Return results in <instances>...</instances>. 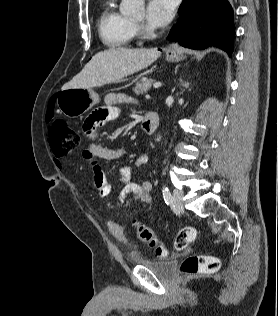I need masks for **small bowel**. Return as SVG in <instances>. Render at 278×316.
Wrapping results in <instances>:
<instances>
[{"mask_svg":"<svg viewBox=\"0 0 278 316\" xmlns=\"http://www.w3.org/2000/svg\"><path fill=\"white\" fill-rule=\"evenodd\" d=\"M129 98L123 94L110 93L105 97V105L93 111L84 121L83 131L87 138L86 148L82 151V157L87 161L93 171L94 185L101 197H109L112 186L99 164V160H116L123 156L124 152L120 148H109L99 142L100 128L108 121L114 120L119 115V106L127 102ZM149 161L147 154L140 155L133 165L123 166L119 169V181L123 188L118 198V204L125 207L138 203L151 205L152 184L148 181L142 183L132 182L133 170L145 165ZM110 208L115 204L108 203ZM110 233L120 242L126 243L127 237L123 228L113 220L107 223Z\"/></svg>","mask_w":278,"mask_h":316,"instance_id":"c3829d8e","label":"small bowel"}]
</instances>
